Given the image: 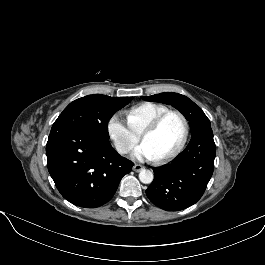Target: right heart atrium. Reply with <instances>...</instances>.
Here are the masks:
<instances>
[{"label":"right heart atrium","mask_w":265,"mask_h":265,"mask_svg":"<svg viewBox=\"0 0 265 265\" xmlns=\"http://www.w3.org/2000/svg\"><path fill=\"white\" fill-rule=\"evenodd\" d=\"M107 131L116 150L121 154L130 151L139 139V135L130 128L118 113L112 114L108 119Z\"/></svg>","instance_id":"d8ad5b80"}]
</instances>
